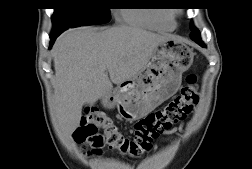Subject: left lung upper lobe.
<instances>
[{"label": "left lung upper lobe", "instance_id": "1", "mask_svg": "<svg viewBox=\"0 0 252 169\" xmlns=\"http://www.w3.org/2000/svg\"><path fill=\"white\" fill-rule=\"evenodd\" d=\"M190 29L192 30L190 37H193L194 35L198 34L199 31L193 26V24H190ZM200 34V33H199Z\"/></svg>", "mask_w": 252, "mask_h": 169}]
</instances>
